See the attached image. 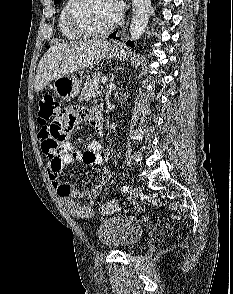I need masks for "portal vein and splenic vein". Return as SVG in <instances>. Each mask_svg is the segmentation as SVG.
Segmentation results:
<instances>
[{
	"instance_id": "1",
	"label": "portal vein and splenic vein",
	"mask_w": 233,
	"mask_h": 294,
	"mask_svg": "<svg viewBox=\"0 0 233 294\" xmlns=\"http://www.w3.org/2000/svg\"><path fill=\"white\" fill-rule=\"evenodd\" d=\"M107 79H108V78H107L106 76H103L102 79H101V83H102V84H105L106 81H107Z\"/></svg>"
}]
</instances>
